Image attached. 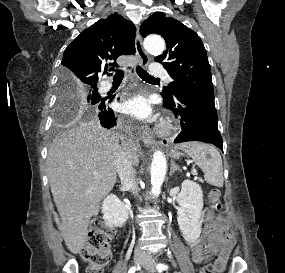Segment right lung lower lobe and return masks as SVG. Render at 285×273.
<instances>
[{
	"mask_svg": "<svg viewBox=\"0 0 285 273\" xmlns=\"http://www.w3.org/2000/svg\"><path fill=\"white\" fill-rule=\"evenodd\" d=\"M112 98H103L98 105V118L103 127L111 128L116 125V117L109 104Z\"/></svg>",
	"mask_w": 285,
	"mask_h": 273,
	"instance_id": "1",
	"label": "right lung lower lobe"
}]
</instances>
